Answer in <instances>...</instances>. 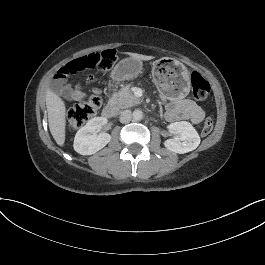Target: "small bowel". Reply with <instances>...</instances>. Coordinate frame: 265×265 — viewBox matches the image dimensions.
<instances>
[{
	"instance_id": "obj_1",
	"label": "small bowel",
	"mask_w": 265,
	"mask_h": 265,
	"mask_svg": "<svg viewBox=\"0 0 265 265\" xmlns=\"http://www.w3.org/2000/svg\"><path fill=\"white\" fill-rule=\"evenodd\" d=\"M92 81V77H88L87 83ZM63 95L67 100L79 101L84 98L85 94L82 90L81 83H77L74 87H65ZM166 117L170 121L188 120L192 123H200L205 112L198 104L188 98H179L167 104Z\"/></svg>"
}]
</instances>
